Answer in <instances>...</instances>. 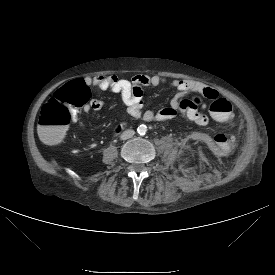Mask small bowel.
<instances>
[{"instance_id":"obj_1","label":"small bowel","mask_w":275,"mask_h":275,"mask_svg":"<svg viewBox=\"0 0 275 275\" xmlns=\"http://www.w3.org/2000/svg\"><path fill=\"white\" fill-rule=\"evenodd\" d=\"M88 85L98 87L103 90H109L113 93L119 94L122 102L127 107L128 113L133 119H142L146 122H162L175 118L178 115L186 116L194 123L204 126L208 124L209 117L204 112L202 107H194L186 96L190 92H199L205 95L207 92H213L218 95V92L210 87H206L194 80H179L173 79L168 81L162 75H146L138 74L131 79L120 78L115 75L112 76H89L85 78ZM167 84L170 88L176 91L175 95L170 101V105L163 107L158 111L146 110L144 111L143 102V87H157ZM105 104L104 100L94 99L85 108V111L99 110ZM74 121L80 128H85V124L77 117ZM211 142L214 150L223 157H228L233 154L236 142L233 137L229 136L227 132L218 130L213 133Z\"/></svg>"}]
</instances>
